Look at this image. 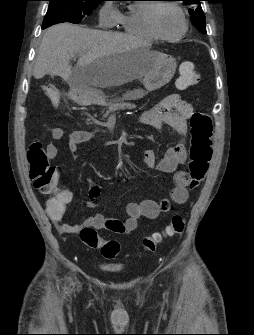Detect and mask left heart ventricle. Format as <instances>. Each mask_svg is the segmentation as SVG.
<instances>
[{"label":"left heart ventricle","mask_w":254,"mask_h":335,"mask_svg":"<svg viewBox=\"0 0 254 335\" xmlns=\"http://www.w3.org/2000/svg\"><path fill=\"white\" fill-rule=\"evenodd\" d=\"M157 26L163 34L174 36L180 33L183 28V23L175 9L169 6H163L157 12Z\"/></svg>","instance_id":"left-heart-ventricle-1"}]
</instances>
